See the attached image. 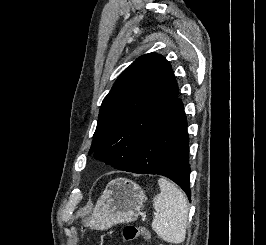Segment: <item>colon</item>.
I'll list each match as a JSON object with an SVG mask.
<instances>
[{"label": "colon", "mask_w": 266, "mask_h": 245, "mask_svg": "<svg viewBox=\"0 0 266 245\" xmlns=\"http://www.w3.org/2000/svg\"><path fill=\"white\" fill-rule=\"evenodd\" d=\"M139 236L148 239L150 237V233L146 228L131 224L126 225L122 230V237L127 241H132Z\"/></svg>", "instance_id": "1"}]
</instances>
